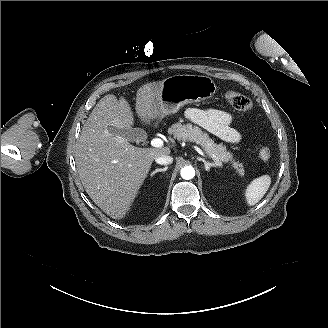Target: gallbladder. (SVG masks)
<instances>
[{"label": "gallbladder", "mask_w": 328, "mask_h": 328, "mask_svg": "<svg viewBox=\"0 0 328 328\" xmlns=\"http://www.w3.org/2000/svg\"><path fill=\"white\" fill-rule=\"evenodd\" d=\"M111 134L123 137L128 141H144L147 138L146 132L139 128L118 129L108 127Z\"/></svg>", "instance_id": "bac80fb5"}]
</instances>
